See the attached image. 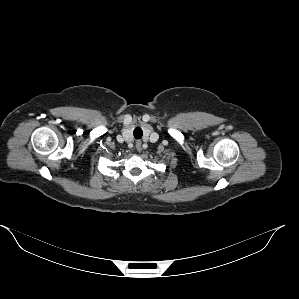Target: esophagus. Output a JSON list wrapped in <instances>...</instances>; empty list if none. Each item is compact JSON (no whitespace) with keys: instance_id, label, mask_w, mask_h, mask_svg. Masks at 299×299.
I'll return each mask as SVG.
<instances>
[{"instance_id":"obj_1","label":"esophagus","mask_w":299,"mask_h":299,"mask_svg":"<svg viewBox=\"0 0 299 299\" xmlns=\"http://www.w3.org/2000/svg\"><path fill=\"white\" fill-rule=\"evenodd\" d=\"M141 145H142V142H141L140 140H138V141L136 142V148H137L138 151L141 150Z\"/></svg>"}]
</instances>
